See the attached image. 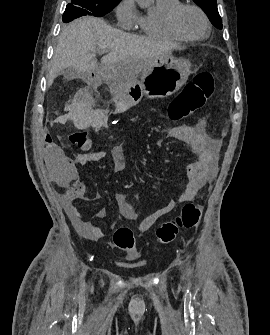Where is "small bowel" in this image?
I'll list each match as a JSON object with an SVG mask.
<instances>
[{
	"instance_id": "small-bowel-1",
	"label": "small bowel",
	"mask_w": 270,
	"mask_h": 335,
	"mask_svg": "<svg viewBox=\"0 0 270 335\" xmlns=\"http://www.w3.org/2000/svg\"><path fill=\"white\" fill-rule=\"evenodd\" d=\"M205 127L206 122L202 121L192 128L175 127L170 130L169 134L175 138L189 139L199 159L195 163L186 166L188 183L178 201L169 200L162 208L141 220L138 225L139 232H148L162 216L170 213L178 202L191 201L203 187L214 180L217 174L216 158L221 148V142L209 137ZM47 140L51 141L52 137L48 136ZM45 154L49 158H43L42 163L43 165H50L49 171L46 173L47 178H70L65 183L67 190L63 198L66 212L75 228L86 239L96 241L103 238V232L91 222L85 220L78 209V202L92 199L86 195L84 184L76 180V178H79V171H77L76 166L81 167L99 162L105 158L106 153L103 150H96L78 154L75 158H64L66 149H57L56 144H47ZM111 159L114 173L118 174L125 171L126 162L121 147L115 146L112 148ZM114 199L125 219L130 221L137 219V213L125 194L117 193ZM106 215L105 209H99L95 214L100 219L106 217Z\"/></svg>"
}]
</instances>
